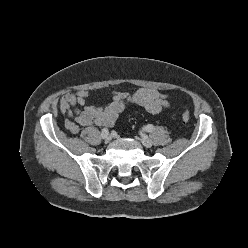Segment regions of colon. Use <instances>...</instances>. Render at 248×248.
I'll use <instances>...</instances> for the list:
<instances>
[{"mask_svg": "<svg viewBox=\"0 0 248 248\" xmlns=\"http://www.w3.org/2000/svg\"><path fill=\"white\" fill-rule=\"evenodd\" d=\"M182 119L185 123H187L190 119V116H189V113L188 111L184 110L183 113H182Z\"/></svg>", "mask_w": 248, "mask_h": 248, "instance_id": "1", "label": "colon"}]
</instances>
